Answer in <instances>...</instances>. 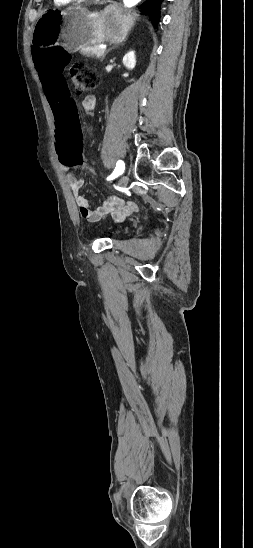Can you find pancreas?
<instances>
[{"instance_id":"pancreas-1","label":"pancreas","mask_w":253,"mask_h":548,"mask_svg":"<svg viewBox=\"0 0 253 548\" xmlns=\"http://www.w3.org/2000/svg\"><path fill=\"white\" fill-rule=\"evenodd\" d=\"M82 55L88 56V57H95V58H102L104 50H101L99 46H83L80 50Z\"/></svg>"}]
</instances>
